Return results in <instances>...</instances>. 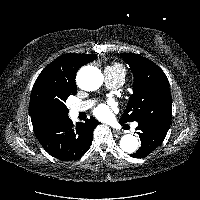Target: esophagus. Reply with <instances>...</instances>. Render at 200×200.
Here are the masks:
<instances>
[{"label":"esophagus","mask_w":200,"mask_h":200,"mask_svg":"<svg viewBox=\"0 0 200 200\" xmlns=\"http://www.w3.org/2000/svg\"><path fill=\"white\" fill-rule=\"evenodd\" d=\"M112 131H113V133H117V134L121 133L120 131H118V130H116L114 128H112Z\"/></svg>","instance_id":"esophagus-1"}]
</instances>
